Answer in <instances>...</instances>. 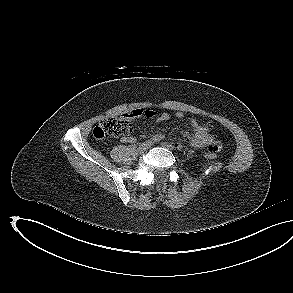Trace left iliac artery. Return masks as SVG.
<instances>
[{
    "mask_svg": "<svg viewBox=\"0 0 293 293\" xmlns=\"http://www.w3.org/2000/svg\"><path fill=\"white\" fill-rule=\"evenodd\" d=\"M177 149H178L179 151H181V150L183 149V146H182L181 144H179V145L177 146Z\"/></svg>",
    "mask_w": 293,
    "mask_h": 293,
    "instance_id": "obj_1",
    "label": "left iliac artery"
}]
</instances>
